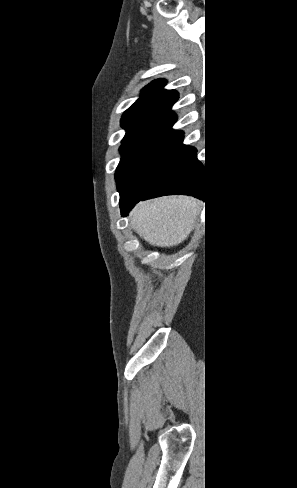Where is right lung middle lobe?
Here are the masks:
<instances>
[{
    "instance_id": "right-lung-middle-lobe-1",
    "label": "right lung middle lobe",
    "mask_w": 297,
    "mask_h": 488,
    "mask_svg": "<svg viewBox=\"0 0 297 488\" xmlns=\"http://www.w3.org/2000/svg\"><path fill=\"white\" fill-rule=\"evenodd\" d=\"M175 133L140 132L122 140L121 161L115 174L120 199L126 197Z\"/></svg>"
}]
</instances>
